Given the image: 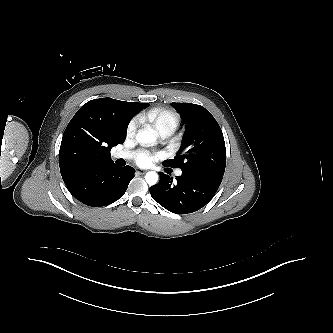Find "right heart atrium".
Instances as JSON below:
<instances>
[{
  "mask_svg": "<svg viewBox=\"0 0 333 333\" xmlns=\"http://www.w3.org/2000/svg\"><path fill=\"white\" fill-rule=\"evenodd\" d=\"M140 119L138 117H134L130 120L127 126L126 134L128 137H133L137 131V128L139 126Z\"/></svg>",
  "mask_w": 333,
  "mask_h": 333,
  "instance_id": "right-heart-atrium-1",
  "label": "right heart atrium"
}]
</instances>
